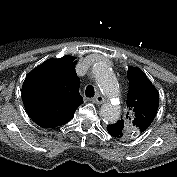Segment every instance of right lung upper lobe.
I'll return each instance as SVG.
<instances>
[{"instance_id":"obj_1","label":"right lung upper lobe","mask_w":177,"mask_h":177,"mask_svg":"<svg viewBox=\"0 0 177 177\" xmlns=\"http://www.w3.org/2000/svg\"><path fill=\"white\" fill-rule=\"evenodd\" d=\"M75 57L49 59L25 78L22 99L30 118L40 127H57L73 118L82 104Z\"/></svg>"}]
</instances>
